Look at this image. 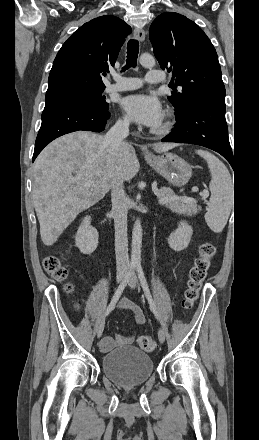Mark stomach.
I'll use <instances>...</instances> for the list:
<instances>
[{"instance_id":"obj_1","label":"stomach","mask_w":259,"mask_h":440,"mask_svg":"<svg viewBox=\"0 0 259 440\" xmlns=\"http://www.w3.org/2000/svg\"><path fill=\"white\" fill-rule=\"evenodd\" d=\"M147 163L170 184L182 187L187 184L191 175V166L178 155L164 153L161 156H147Z\"/></svg>"}]
</instances>
